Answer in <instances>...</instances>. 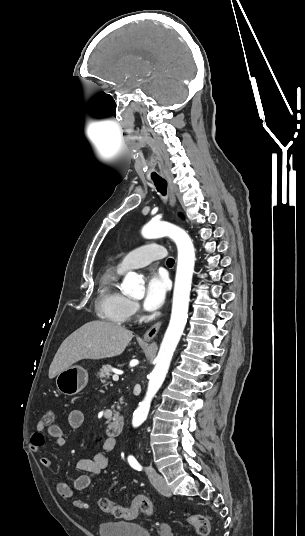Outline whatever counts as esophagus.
<instances>
[{"mask_svg": "<svg viewBox=\"0 0 305 536\" xmlns=\"http://www.w3.org/2000/svg\"><path fill=\"white\" fill-rule=\"evenodd\" d=\"M163 178H165V180L167 181L168 192H169V198H170L171 205L175 206V204H176V196H175V190H174V185H173V182H172V178L169 177V175H163ZM160 327H161V321H158L153 326H151V328H149L144 334V337H143L144 341L152 340L157 335Z\"/></svg>", "mask_w": 305, "mask_h": 536, "instance_id": "obj_1", "label": "esophagus"}]
</instances>
